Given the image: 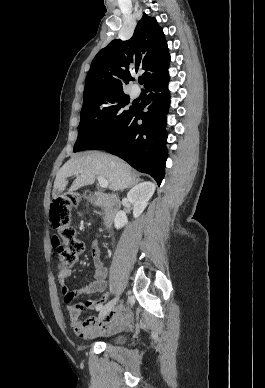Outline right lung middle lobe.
Listing matches in <instances>:
<instances>
[{"label": "right lung middle lobe", "instance_id": "1", "mask_svg": "<svg viewBox=\"0 0 265 388\" xmlns=\"http://www.w3.org/2000/svg\"><path fill=\"white\" fill-rule=\"evenodd\" d=\"M123 90H104L83 98L78 138L74 152L103 149L120 132L133 112L134 106Z\"/></svg>", "mask_w": 265, "mask_h": 388}]
</instances>
